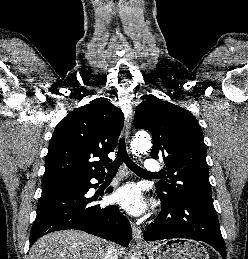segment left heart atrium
Masks as SVG:
<instances>
[{"instance_id": "left-heart-atrium-1", "label": "left heart atrium", "mask_w": 248, "mask_h": 259, "mask_svg": "<svg viewBox=\"0 0 248 259\" xmlns=\"http://www.w3.org/2000/svg\"><path fill=\"white\" fill-rule=\"evenodd\" d=\"M112 199L132 215L142 214L147 207L141 190L134 184H128L118 188L113 194Z\"/></svg>"}]
</instances>
